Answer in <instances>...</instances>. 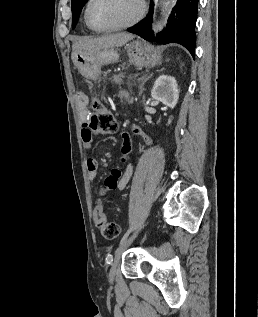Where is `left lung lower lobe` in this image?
<instances>
[{"instance_id": "left-lung-lower-lobe-1", "label": "left lung lower lobe", "mask_w": 258, "mask_h": 317, "mask_svg": "<svg viewBox=\"0 0 258 317\" xmlns=\"http://www.w3.org/2000/svg\"><path fill=\"white\" fill-rule=\"evenodd\" d=\"M152 1V0H151ZM199 0H178L168 19L166 28L154 37L151 31L153 5L147 17L136 26L128 29L145 40L160 44L179 43L189 50L195 58V24Z\"/></svg>"}]
</instances>
